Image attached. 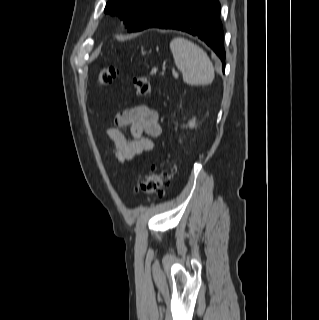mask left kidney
I'll return each instance as SVG.
<instances>
[{"label": "left kidney", "instance_id": "1", "mask_svg": "<svg viewBox=\"0 0 319 320\" xmlns=\"http://www.w3.org/2000/svg\"><path fill=\"white\" fill-rule=\"evenodd\" d=\"M188 126L190 128H194L195 127V118L192 121L189 122Z\"/></svg>", "mask_w": 319, "mask_h": 320}]
</instances>
